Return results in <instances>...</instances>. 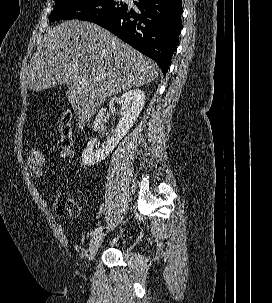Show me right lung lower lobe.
Here are the masks:
<instances>
[{
	"instance_id": "right-lung-lower-lobe-1",
	"label": "right lung lower lobe",
	"mask_w": 272,
	"mask_h": 303,
	"mask_svg": "<svg viewBox=\"0 0 272 303\" xmlns=\"http://www.w3.org/2000/svg\"><path fill=\"white\" fill-rule=\"evenodd\" d=\"M139 13L123 12L94 23L152 58L166 75L181 32L182 0H138Z\"/></svg>"
}]
</instances>
